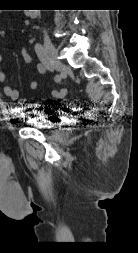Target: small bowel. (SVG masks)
Returning a JSON list of instances; mask_svg holds the SVG:
<instances>
[{"instance_id": "obj_1", "label": "small bowel", "mask_w": 138, "mask_h": 253, "mask_svg": "<svg viewBox=\"0 0 138 253\" xmlns=\"http://www.w3.org/2000/svg\"><path fill=\"white\" fill-rule=\"evenodd\" d=\"M22 59L27 64L32 62V56L26 49H24L22 51ZM1 62H2V56L0 55V83L4 84L6 82V77H5V74L2 70ZM35 70H36L37 74L43 75L46 73L47 68L43 64L40 63V64L36 65ZM29 86L31 89H37L38 88V81L36 79H32L30 81ZM4 93L7 97H9L13 101H20V103L22 105L27 104V99L26 98L21 99L20 92L16 88H14L13 86H11L9 84H5Z\"/></svg>"}]
</instances>
